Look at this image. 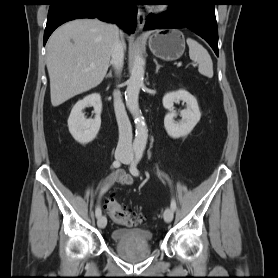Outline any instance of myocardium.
I'll return each instance as SVG.
<instances>
[{
	"label": "myocardium",
	"instance_id": "myocardium-1",
	"mask_svg": "<svg viewBox=\"0 0 278 278\" xmlns=\"http://www.w3.org/2000/svg\"><path fill=\"white\" fill-rule=\"evenodd\" d=\"M159 8H160V9H163V8H165V6H160Z\"/></svg>",
	"mask_w": 278,
	"mask_h": 278
}]
</instances>
